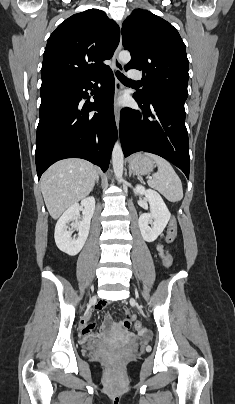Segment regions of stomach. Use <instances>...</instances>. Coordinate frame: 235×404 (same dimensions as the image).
<instances>
[{
    "mask_svg": "<svg viewBox=\"0 0 235 404\" xmlns=\"http://www.w3.org/2000/svg\"><path fill=\"white\" fill-rule=\"evenodd\" d=\"M154 162L144 154H136L130 158L129 169L137 175H146L152 172Z\"/></svg>",
    "mask_w": 235,
    "mask_h": 404,
    "instance_id": "0dacf381",
    "label": "stomach"
}]
</instances>
